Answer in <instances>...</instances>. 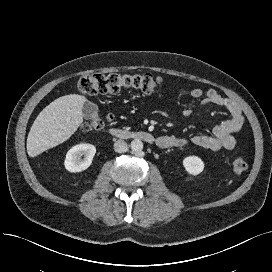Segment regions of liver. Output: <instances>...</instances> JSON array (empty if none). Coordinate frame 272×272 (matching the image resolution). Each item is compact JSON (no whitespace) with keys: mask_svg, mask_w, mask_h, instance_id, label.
Segmentation results:
<instances>
[{"mask_svg":"<svg viewBox=\"0 0 272 272\" xmlns=\"http://www.w3.org/2000/svg\"><path fill=\"white\" fill-rule=\"evenodd\" d=\"M86 97L70 94L46 106L35 119L27 138V153L36 157L68 140L83 121Z\"/></svg>","mask_w":272,"mask_h":272,"instance_id":"6515ba94","label":"liver"}]
</instances>
